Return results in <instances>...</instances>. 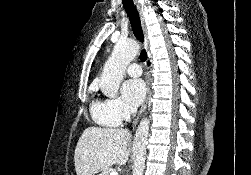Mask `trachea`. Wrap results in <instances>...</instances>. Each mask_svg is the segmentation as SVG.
<instances>
[{
	"label": "trachea",
	"mask_w": 251,
	"mask_h": 175,
	"mask_svg": "<svg viewBox=\"0 0 251 175\" xmlns=\"http://www.w3.org/2000/svg\"><path fill=\"white\" fill-rule=\"evenodd\" d=\"M123 5H124L125 11L127 12L128 17H129V20L131 23V28L133 30L135 37L139 41H141V43H144V36H143L142 27H141L139 13H138L136 7L134 6L133 0H123ZM146 59H147V53H146L145 49L143 48V50L140 53V60L142 62H145Z\"/></svg>",
	"instance_id": "obj_1"
}]
</instances>
